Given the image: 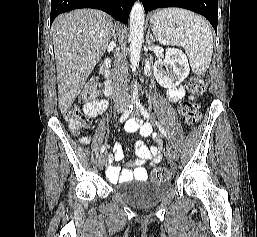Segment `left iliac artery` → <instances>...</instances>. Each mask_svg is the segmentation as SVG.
Wrapping results in <instances>:
<instances>
[{
	"instance_id": "left-iliac-artery-1",
	"label": "left iliac artery",
	"mask_w": 257,
	"mask_h": 237,
	"mask_svg": "<svg viewBox=\"0 0 257 237\" xmlns=\"http://www.w3.org/2000/svg\"><path fill=\"white\" fill-rule=\"evenodd\" d=\"M136 107H137V109L141 112V114H142L144 117L150 118L149 113H148L147 110L144 108V106L142 105V103H140V101L136 102ZM153 122H154V124H155L156 126H158V128H159L161 134L167 138V132L165 131V129H164L157 121H153Z\"/></svg>"
}]
</instances>
